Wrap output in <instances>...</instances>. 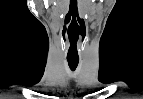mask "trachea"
I'll use <instances>...</instances> for the list:
<instances>
[{"label":"trachea","instance_id":"trachea-1","mask_svg":"<svg viewBox=\"0 0 143 99\" xmlns=\"http://www.w3.org/2000/svg\"><path fill=\"white\" fill-rule=\"evenodd\" d=\"M79 60H68V65L72 71L78 66Z\"/></svg>","mask_w":143,"mask_h":99}]
</instances>
